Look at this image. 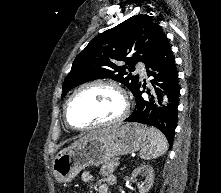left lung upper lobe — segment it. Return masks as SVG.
I'll return each mask as SVG.
<instances>
[{
  "instance_id": "1",
  "label": "left lung upper lobe",
  "mask_w": 221,
  "mask_h": 193,
  "mask_svg": "<svg viewBox=\"0 0 221 193\" xmlns=\"http://www.w3.org/2000/svg\"><path fill=\"white\" fill-rule=\"evenodd\" d=\"M166 42L167 36L150 16L136 15L127 19L94 37L77 55L63 83L61 97L82 83L102 78L121 82L133 93L139 77L126 70L134 71L139 61L146 64ZM122 61L126 64L122 65Z\"/></svg>"
}]
</instances>
